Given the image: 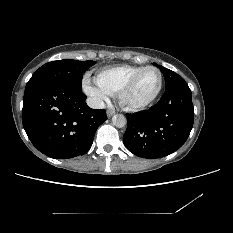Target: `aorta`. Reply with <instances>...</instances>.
I'll return each mask as SVG.
<instances>
[{"label": "aorta", "instance_id": "aorta-1", "mask_svg": "<svg viewBox=\"0 0 233 233\" xmlns=\"http://www.w3.org/2000/svg\"><path fill=\"white\" fill-rule=\"evenodd\" d=\"M112 123L118 128H122L126 125V117L122 114H116L112 117Z\"/></svg>", "mask_w": 233, "mask_h": 233}]
</instances>
